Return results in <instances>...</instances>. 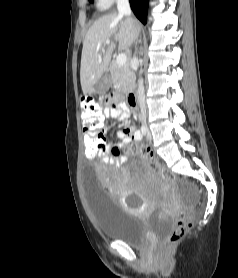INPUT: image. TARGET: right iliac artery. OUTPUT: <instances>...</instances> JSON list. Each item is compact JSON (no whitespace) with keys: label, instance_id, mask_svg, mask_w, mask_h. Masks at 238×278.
<instances>
[{"label":"right iliac artery","instance_id":"1","mask_svg":"<svg viewBox=\"0 0 238 278\" xmlns=\"http://www.w3.org/2000/svg\"><path fill=\"white\" fill-rule=\"evenodd\" d=\"M141 132H142V135H144V136L147 133V128H146V126L144 124H142V126H141Z\"/></svg>","mask_w":238,"mask_h":278}]
</instances>
